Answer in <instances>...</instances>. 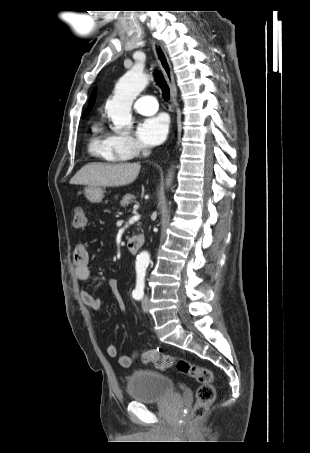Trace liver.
I'll use <instances>...</instances> for the list:
<instances>
[{
	"label": "liver",
	"mask_w": 310,
	"mask_h": 453,
	"mask_svg": "<svg viewBox=\"0 0 310 453\" xmlns=\"http://www.w3.org/2000/svg\"><path fill=\"white\" fill-rule=\"evenodd\" d=\"M139 163H89L70 180V184L89 187H119L133 183L140 171Z\"/></svg>",
	"instance_id": "liver-1"
}]
</instances>
